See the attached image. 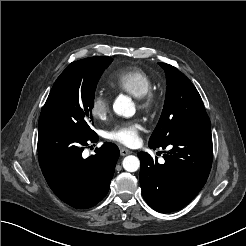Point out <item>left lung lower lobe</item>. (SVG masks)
<instances>
[{"mask_svg": "<svg viewBox=\"0 0 246 246\" xmlns=\"http://www.w3.org/2000/svg\"><path fill=\"white\" fill-rule=\"evenodd\" d=\"M160 147L169 149L164 164L138 153L140 184L148 205L169 213L187 205L204 186L212 165L211 132L175 135Z\"/></svg>", "mask_w": 246, "mask_h": 246, "instance_id": "0a47b994", "label": "left lung lower lobe"}]
</instances>
